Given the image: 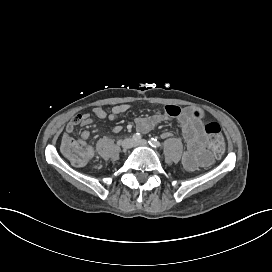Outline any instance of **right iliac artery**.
Returning a JSON list of instances; mask_svg holds the SVG:
<instances>
[{
    "instance_id": "obj_1",
    "label": "right iliac artery",
    "mask_w": 272,
    "mask_h": 272,
    "mask_svg": "<svg viewBox=\"0 0 272 272\" xmlns=\"http://www.w3.org/2000/svg\"><path fill=\"white\" fill-rule=\"evenodd\" d=\"M141 138H142V136H141V134H140L139 132H136V133L133 134V136H132V139H133L134 141H139V140H141Z\"/></svg>"
}]
</instances>
